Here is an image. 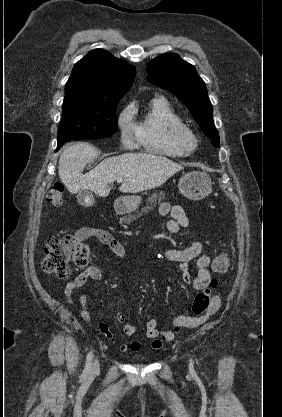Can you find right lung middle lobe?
<instances>
[{
	"label": "right lung middle lobe",
	"instance_id": "obj_1",
	"mask_svg": "<svg viewBox=\"0 0 282 417\" xmlns=\"http://www.w3.org/2000/svg\"><path fill=\"white\" fill-rule=\"evenodd\" d=\"M123 94H65L58 144L97 139L117 131L116 105Z\"/></svg>",
	"mask_w": 282,
	"mask_h": 417
}]
</instances>
